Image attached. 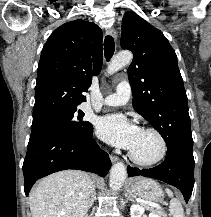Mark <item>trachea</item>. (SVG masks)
<instances>
[{"mask_svg":"<svg viewBox=\"0 0 211 217\" xmlns=\"http://www.w3.org/2000/svg\"><path fill=\"white\" fill-rule=\"evenodd\" d=\"M115 51V43L112 36L107 35L104 40V55L107 61H109Z\"/></svg>","mask_w":211,"mask_h":217,"instance_id":"obj_1","label":"trachea"}]
</instances>
